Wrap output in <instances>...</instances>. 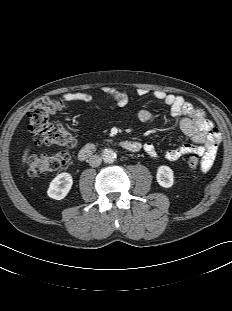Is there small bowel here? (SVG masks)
Returning a JSON list of instances; mask_svg holds the SVG:
<instances>
[{
	"mask_svg": "<svg viewBox=\"0 0 232 311\" xmlns=\"http://www.w3.org/2000/svg\"><path fill=\"white\" fill-rule=\"evenodd\" d=\"M104 92L111 95L121 107L128 103V95L124 91L106 87ZM136 92L141 97L152 95L154 99L169 106L171 114L178 120L180 129L192 141V143H183L176 148L165 150L164 157L167 160L175 161L186 155H196L201 157L202 170L205 172L210 170L216 157L221 135L213 123L205 117L203 111L182 96L161 89L151 90L140 87ZM63 98L66 101L81 100L84 102H89L92 99L91 95L86 92L65 93ZM137 117L140 122L149 123L153 120L154 115L148 109H141ZM144 151L152 157L157 155L156 149L151 143L144 145Z\"/></svg>",
	"mask_w": 232,
	"mask_h": 311,
	"instance_id": "c3829d8e",
	"label": "small bowel"
}]
</instances>
